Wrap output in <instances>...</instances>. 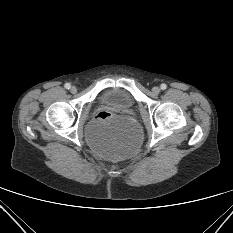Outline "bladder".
I'll use <instances>...</instances> for the list:
<instances>
[{
    "label": "bladder",
    "mask_w": 233,
    "mask_h": 233,
    "mask_svg": "<svg viewBox=\"0 0 233 233\" xmlns=\"http://www.w3.org/2000/svg\"><path fill=\"white\" fill-rule=\"evenodd\" d=\"M100 101L118 109H128L135 104V98L131 92L120 87L105 90ZM87 140L98 156L109 160H119L131 157L137 152L141 141V131L136 122L126 119L89 130Z\"/></svg>",
    "instance_id": "bladder-1"
}]
</instances>
